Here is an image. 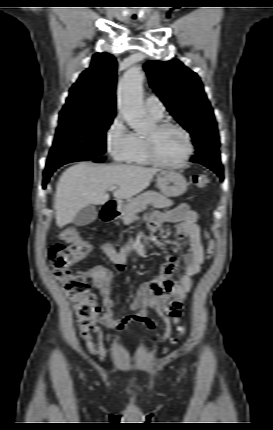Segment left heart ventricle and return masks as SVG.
Wrapping results in <instances>:
<instances>
[{"label":"left heart ventricle","mask_w":273,"mask_h":430,"mask_svg":"<svg viewBox=\"0 0 273 430\" xmlns=\"http://www.w3.org/2000/svg\"><path fill=\"white\" fill-rule=\"evenodd\" d=\"M147 135L153 136L158 157L165 162H177L186 153L187 144L182 132L174 128H167L155 132L154 128Z\"/></svg>","instance_id":"1"}]
</instances>
